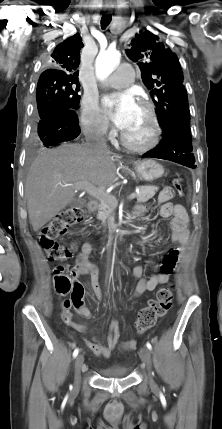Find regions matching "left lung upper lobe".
Returning a JSON list of instances; mask_svg holds the SVG:
<instances>
[{
    "mask_svg": "<svg viewBox=\"0 0 222 429\" xmlns=\"http://www.w3.org/2000/svg\"><path fill=\"white\" fill-rule=\"evenodd\" d=\"M126 53L140 66L162 131L175 124H190L187 91L177 56L149 31L136 35Z\"/></svg>",
    "mask_w": 222,
    "mask_h": 429,
    "instance_id": "5c2ea615",
    "label": "left lung upper lobe"
}]
</instances>
